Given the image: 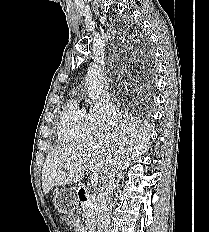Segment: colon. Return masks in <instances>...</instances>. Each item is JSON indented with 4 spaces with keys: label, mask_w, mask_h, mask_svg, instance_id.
I'll return each instance as SVG.
<instances>
[{
    "label": "colon",
    "mask_w": 209,
    "mask_h": 232,
    "mask_svg": "<svg viewBox=\"0 0 209 232\" xmlns=\"http://www.w3.org/2000/svg\"><path fill=\"white\" fill-rule=\"evenodd\" d=\"M63 216L65 217L67 221H71L72 219L69 214H63Z\"/></svg>",
    "instance_id": "colon-1"
}]
</instances>
